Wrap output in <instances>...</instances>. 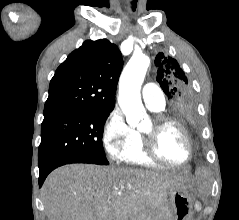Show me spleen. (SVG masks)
Instances as JSON below:
<instances>
[{
	"label": "spleen",
	"instance_id": "obj_1",
	"mask_svg": "<svg viewBox=\"0 0 239 220\" xmlns=\"http://www.w3.org/2000/svg\"><path fill=\"white\" fill-rule=\"evenodd\" d=\"M199 208H200L199 205H197V206H196V209L199 210Z\"/></svg>",
	"mask_w": 239,
	"mask_h": 220
}]
</instances>
